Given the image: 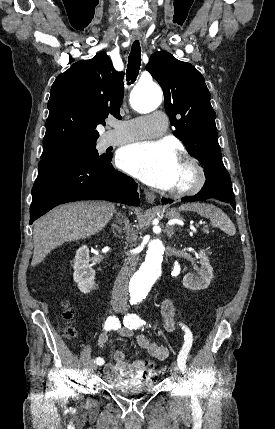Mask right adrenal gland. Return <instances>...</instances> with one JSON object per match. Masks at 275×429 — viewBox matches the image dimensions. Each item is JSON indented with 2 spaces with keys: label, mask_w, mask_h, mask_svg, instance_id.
Masks as SVG:
<instances>
[{
  "label": "right adrenal gland",
  "mask_w": 275,
  "mask_h": 429,
  "mask_svg": "<svg viewBox=\"0 0 275 429\" xmlns=\"http://www.w3.org/2000/svg\"><path fill=\"white\" fill-rule=\"evenodd\" d=\"M115 214H116L117 222H120L119 217L120 216L123 217V215L120 212H117V211H115ZM117 222L112 224V231H113V234L115 236H119L120 237V235L122 234V230H121V227L117 224Z\"/></svg>",
  "instance_id": "1"
}]
</instances>
